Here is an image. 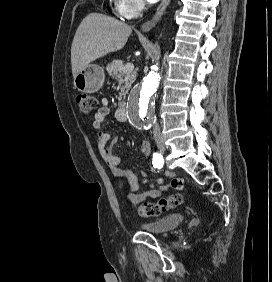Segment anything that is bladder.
Wrapping results in <instances>:
<instances>
[{
    "mask_svg": "<svg viewBox=\"0 0 272 282\" xmlns=\"http://www.w3.org/2000/svg\"><path fill=\"white\" fill-rule=\"evenodd\" d=\"M184 216L181 213H175L172 215L165 216L159 220L151 222H143L140 224L142 230L148 232H163L175 228L183 221Z\"/></svg>",
    "mask_w": 272,
    "mask_h": 282,
    "instance_id": "1",
    "label": "bladder"
}]
</instances>
